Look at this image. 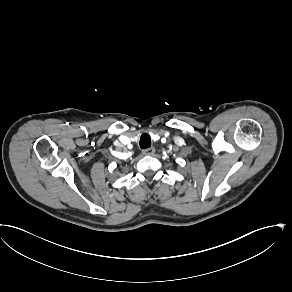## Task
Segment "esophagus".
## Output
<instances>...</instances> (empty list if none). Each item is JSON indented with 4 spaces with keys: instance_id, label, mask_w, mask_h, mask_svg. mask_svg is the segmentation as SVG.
<instances>
[{
    "instance_id": "esophagus-1",
    "label": "esophagus",
    "mask_w": 292,
    "mask_h": 292,
    "mask_svg": "<svg viewBox=\"0 0 292 292\" xmlns=\"http://www.w3.org/2000/svg\"><path fill=\"white\" fill-rule=\"evenodd\" d=\"M154 153H155V148L153 146L142 150L143 155H153Z\"/></svg>"
}]
</instances>
